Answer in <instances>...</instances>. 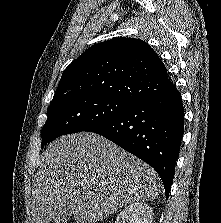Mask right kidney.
Segmentation results:
<instances>
[{"label": "right kidney", "mask_w": 221, "mask_h": 223, "mask_svg": "<svg viewBox=\"0 0 221 223\" xmlns=\"http://www.w3.org/2000/svg\"><path fill=\"white\" fill-rule=\"evenodd\" d=\"M152 220L153 213L150 205L135 202L120 212L115 223H152Z\"/></svg>", "instance_id": "ca27d5eb"}]
</instances>
